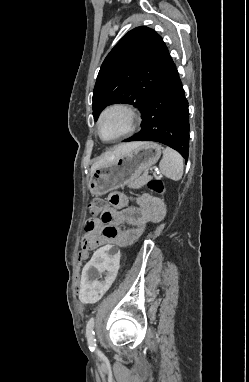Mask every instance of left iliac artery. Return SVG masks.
Wrapping results in <instances>:
<instances>
[{"label": "left iliac artery", "mask_w": 249, "mask_h": 382, "mask_svg": "<svg viewBox=\"0 0 249 382\" xmlns=\"http://www.w3.org/2000/svg\"><path fill=\"white\" fill-rule=\"evenodd\" d=\"M86 337L89 345V349L94 351L96 349V339L94 335V318L91 317L86 325Z\"/></svg>", "instance_id": "44dca946"}]
</instances>
